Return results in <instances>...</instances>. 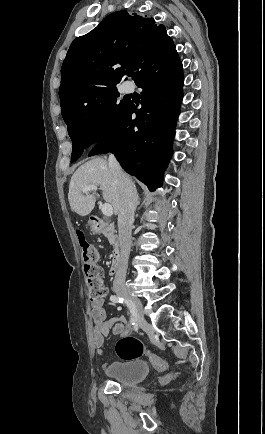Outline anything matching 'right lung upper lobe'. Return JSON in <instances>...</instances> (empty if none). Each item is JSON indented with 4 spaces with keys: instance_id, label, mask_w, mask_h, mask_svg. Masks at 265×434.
I'll return each mask as SVG.
<instances>
[{
    "instance_id": "cb5924a9",
    "label": "right lung upper lobe",
    "mask_w": 265,
    "mask_h": 434,
    "mask_svg": "<svg viewBox=\"0 0 265 434\" xmlns=\"http://www.w3.org/2000/svg\"><path fill=\"white\" fill-rule=\"evenodd\" d=\"M174 48L154 18L114 12L72 42L61 68L60 100L126 76L135 80L147 64Z\"/></svg>"
}]
</instances>
